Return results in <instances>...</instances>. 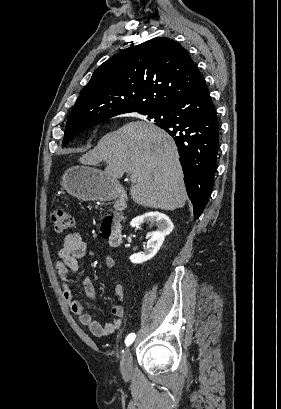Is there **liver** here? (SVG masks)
I'll list each match as a JSON object with an SVG mask.
<instances>
[{"label":"liver","instance_id":"obj_1","mask_svg":"<svg viewBox=\"0 0 281 409\" xmlns=\"http://www.w3.org/2000/svg\"><path fill=\"white\" fill-rule=\"evenodd\" d=\"M82 164L107 162L113 180L131 174V198L142 207L175 211L184 207L187 192L176 144L163 128L148 120L127 122L102 136L97 146L82 154Z\"/></svg>","mask_w":281,"mask_h":409}]
</instances>
